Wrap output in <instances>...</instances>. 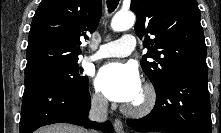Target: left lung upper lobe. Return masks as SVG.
I'll list each match as a JSON object with an SVG mask.
<instances>
[{"label":"left lung upper lobe","mask_w":221,"mask_h":133,"mask_svg":"<svg viewBox=\"0 0 221 133\" xmlns=\"http://www.w3.org/2000/svg\"><path fill=\"white\" fill-rule=\"evenodd\" d=\"M130 9L137 15V36H145L141 66L155 90L178 73L208 74L196 0H131Z\"/></svg>","instance_id":"1"}]
</instances>
